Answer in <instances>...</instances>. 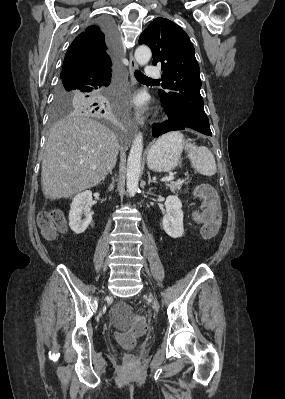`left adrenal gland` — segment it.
Returning a JSON list of instances; mask_svg holds the SVG:
<instances>
[{
  "instance_id": "obj_1",
  "label": "left adrenal gland",
  "mask_w": 285,
  "mask_h": 399,
  "mask_svg": "<svg viewBox=\"0 0 285 399\" xmlns=\"http://www.w3.org/2000/svg\"><path fill=\"white\" fill-rule=\"evenodd\" d=\"M147 174H148V185H150V183H156L155 179H151V175H150L149 171L147 172Z\"/></svg>"
}]
</instances>
